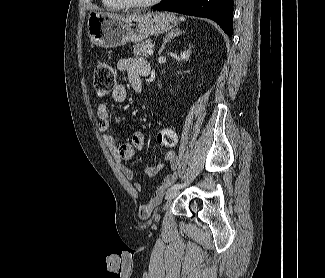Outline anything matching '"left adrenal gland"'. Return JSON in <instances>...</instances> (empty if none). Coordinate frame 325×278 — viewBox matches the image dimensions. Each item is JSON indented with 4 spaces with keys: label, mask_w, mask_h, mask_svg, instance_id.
Wrapping results in <instances>:
<instances>
[{
    "label": "left adrenal gland",
    "mask_w": 325,
    "mask_h": 278,
    "mask_svg": "<svg viewBox=\"0 0 325 278\" xmlns=\"http://www.w3.org/2000/svg\"><path fill=\"white\" fill-rule=\"evenodd\" d=\"M182 33H184V31L176 28V29H172L170 32H168V34L166 35L159 51H158V54L161 55L162 51L165 49V45L166 43H168L169 41H171L173 38L181 35Z\"/></svg>",
    "instance_id": "a2214340"
}]
</instances>
